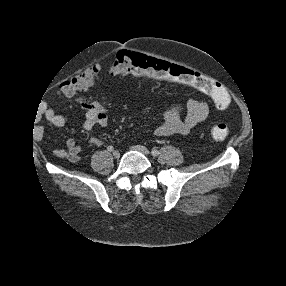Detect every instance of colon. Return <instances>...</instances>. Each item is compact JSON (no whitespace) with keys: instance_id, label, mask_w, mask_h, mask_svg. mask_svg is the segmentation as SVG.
<instances>
[{"instance_id":"1","label":"colon","mask_w":286,"mask_h":286,"mask_svg":"<svg viewBox=\"0 0 286 286\" xmlns=\"http://www.w3.org/2000/svg\"><path fill=\"white\" fill-rule=\"evenodd\" d=\"M101 72L100 66H94L63 83L58 95L64 99L90 87ZM111 75L136 74L156 79H174L194 85L207 93L218 110H226L230 106V97L223 85L198 72L170 65L164 61L143 54L122 50L118 52L109 67ZM230 129L224 123H215L210 128V136L216 141H224Z\"/></svg>"}]
</instances>
